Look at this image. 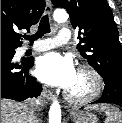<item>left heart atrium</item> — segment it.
<instances>
[{"label":"left heart atrium","instance_id":"39dd6f15","mask_svg":"<svg viewBox=\"0 0 122 123\" xmlns=\"http://www.w3.org/2000/svg\"><path fill=\"white\" fill-rule=\"evenodd\" d=\"M35 73L43 83L69 90L77 71L70 57L51 52L38 58Z\"/></svg>","mask_w":122,"mask_h":123}]
</instances>
